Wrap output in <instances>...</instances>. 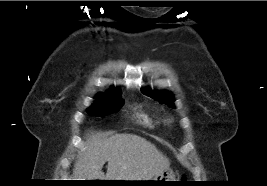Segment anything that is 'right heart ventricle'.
Here are the masks:
<instances>
[{"label": "right heart ventricle", "mask_w": 267, "mask_h": 186, "mask_svg": "<svg viewBox=\"0 0 267 186\" xmlns=\"http://www.w3.org/2000/svg\"><path fill=\"white\" fill-rule=\"evenodd\" d=\"M140 120L142 123L149 127L155 126L159 122V117L157 115H150L148 113L142 112L139 115Z\"/></svg>", "instance_id": "1"}]
</instances>
